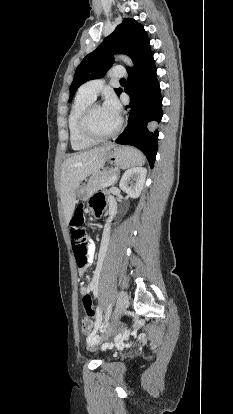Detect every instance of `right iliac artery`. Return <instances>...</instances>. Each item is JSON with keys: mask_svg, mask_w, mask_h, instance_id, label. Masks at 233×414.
Returning a JSON list of instances; mask_svg holds the SVG:
<instances>
[{"mask_svg": "<svg viewBox=\"0 0 233 414\" xmlns=\"http://www.w3.org/2000/svg\"><path fill=\"white\" fill-rule=\"evenodd\" d=\"M105 251H106V246L104 247L103 245L101 246V253H105Z\"/></svg>", "mask_w": 233, "mask_h": 414, "instance_id": "82829eb1", "label": "right iliac artery"}]
</instances>
